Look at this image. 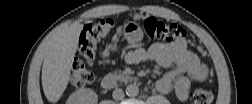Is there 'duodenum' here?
<instances>
[{
	"mask_svg": "<svg viewBox=\"0 0 252 104\" xmlns=\"http://www.w3.org/2000/svg\"><path fill=\"white\" fill-rule=\"evenodd\" d=\"M133 78L122 75V74H108L106 75L101 82V86L104 89H111L115 87L118 83L124 82V81H132Z\"/></svg>",
	"mask_w": 252,
	"mask_h": 104,
	"instance_id": "410a0bca",
	"label": "duodenum"
}]
</instances>
